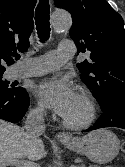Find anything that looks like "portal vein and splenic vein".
<instances>
[{
  "label": "portal vein and splenic vein",
  "mask_w": 125,
  "mask_h": 167,
  "mask_svg": "<svg viewBox=\"0 0 125 167\" xmlns=\"http://www.w3.org/2000/svg\"><path fill=\"white\" fill-rule=\"evenodd\" d=\"M4 165H12L16 167H38L37 164L27 161V160H20V159H1L0 160V167ZM70 167H76L74 165Z\"/></svg>",
  "instance_id": "portal-vein-and-splenic-vein-1"
}]
</instances>
